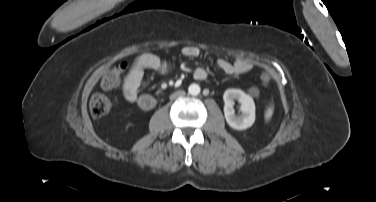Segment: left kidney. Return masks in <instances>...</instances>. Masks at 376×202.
Returning a JSON list of instances; mask_svg holds the SVG:
<instances>
[{
  "instance_id": "1",
  "label": "left kidney",
  "mask_w": 376,
  "mask_h": 202,
  "mask_svg": "<svg viewBox=\"0 0 376 202\" xmlns=\"http://www.w3.org/2000/svg\"><path fill=\"white\" fill-rule=\"evenodd\" d=\"M223 100L225 119L230 127L236 130H244L255 122V103L253 99L240 89H227ZM241 104V115H236L233 109L234 101Z\"/></svg>"
}]
</instances>
